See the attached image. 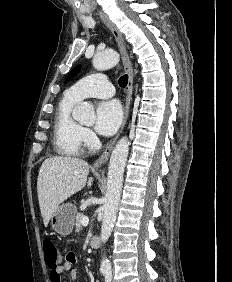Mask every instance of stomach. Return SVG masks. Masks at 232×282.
I'll return each instance as SVG.
<instances>
[{
	"label": "stomach",
	"mask_w": 232,
	"mask_h": 282,
	"mask_svg": "<svg viewBox=\"0 0 232 282\" xmlns=\"http://www.w3.org/2000/svg\"><path fill=\"white\" fill-rule=\"evenodd\" d=\"M77 208L71 203L60 205L51 217L52 228L61 236L72 233Z\"/></svg>",
	"instance_id": "obj_1"
}]
</instances>
